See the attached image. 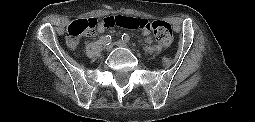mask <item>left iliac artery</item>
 Segmentation results:
<instances>
[{
  "instance_id": "44dca946",
  "label": "left iliac artery",
  "mask_w": 255,
  "mask_h": 122,
  "mask_svg": "<svg viewBox=\"0 0 255 122\" xmlns=\"http://www.w3.org/2000/svg\"><path fill=\"white\" fill-rule=\"evenodd\" d=\"M122 40L126 43L130 41V36L128 34H123L122 35Z\"/></svg>"
}]
</instances>
